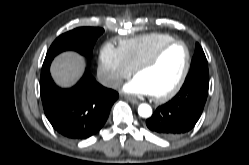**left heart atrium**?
I'll list each match as a JSON object with an SVG mask.
<instances>
[{"mask_svg":"<svg viewBox=\"0 0 249 165\" xmlns=\"http://www.w3.org/2000/svg\"><path fill=\"white\" fill-rule=\"evenodd\" d=\"M123 91L131 95H151L150 90L138 77H135L134 79L126 83L123 87Z\"/></svg>","mask_w":249,"mask_h":165,"instance_id":"39dd6f15","label":"left heart atrium"}]
</instances>
